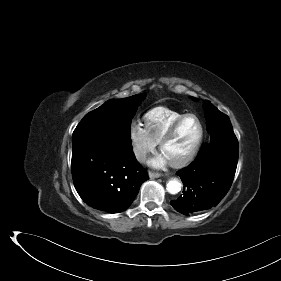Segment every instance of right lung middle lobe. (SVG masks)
Returning <instances> with one entry per match:
<instances>
[{
  "instance_id": "dd1d6c3e",
  "label": "right lung middle lobe",
  "mask_w": 281,
  "mask_h": 281,
  "mask_svg": "<svg viewBox=\"0 0 281 281\" xmlns=\"http://www.w3.org/2000/svg\"><path fill=\"white\" fill-rule=\"evenodd\" d=\"M145 96L111 99L89 112L73 132L72 151L88 146L130 145L131 119Z\"/></svg>"
}]
</instances>
